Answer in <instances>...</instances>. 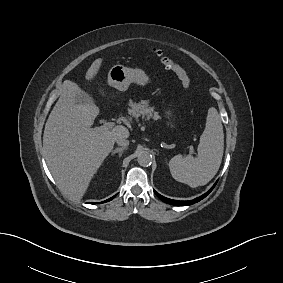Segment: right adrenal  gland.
Here are the masks:
<instances>
[{
    "label": "right adrenal gland",
    "instance_id": "obj_1",
    "mask_svg": "<svg viewBox=\"0 0 283 283\" xmlns=\"http://www.w3.org/2000/svg\"><path fill=\"white\" fill-rule=\"evenodd\" d=\"M126 149H127V147L116 148L112 151L111 155L118 153L119 157H121L122 154H123V151L126 150Z\"/></svg>",
    "mask_w": 283,
    "mask_h": 283
}]
</instances>
